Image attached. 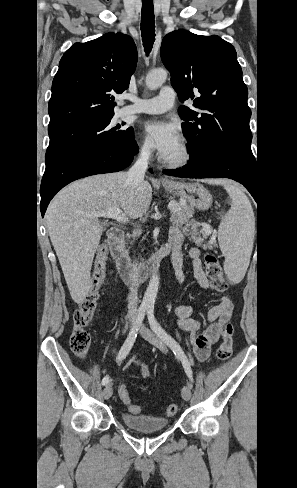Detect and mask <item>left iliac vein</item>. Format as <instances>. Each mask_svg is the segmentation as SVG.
Returning <instances> with one entry per match:
<instances>
[{
  "label": "left iliac vein",
  "mask_w": 297,
  "mask_h": 488,
  "mask_svg": "<svg viewBox=\"0 0 297 488\" xmlns=\"http://www.w3.org/2000/svg\"><path fill=\"white\" fill-rule=\"evenodd\" d=\"M140 335L147 340L149 343L153 344L159 348L162 352H167L166 345L160 340L154 333H152L144 325L140 328ZM191 384H188L182 389V397L185 401H189L191 398Z\"/></svg>",
  "instance_id": "obj_1"
}]
</instances>
